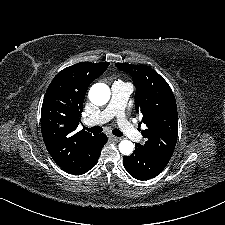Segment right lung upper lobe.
<instances>
[{"label":"right lung upper lobe","mask_w":225,"mask_h":225,"mask_svg":"<svg viewBox=\"0 0 225 225\" xmlns=\"http://www.w3.org/2000/svg\"><path fill=\"white\" fill-rule=\"evenodd\" d=\"M109 66L107 62H81L60 71L44 96L41 132L46 148L65 172H86L101 148L99 135L77 131L90 83Z\"/></svg>","instance_id":"cb5924a9"}]
</instances>
